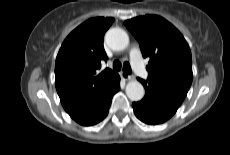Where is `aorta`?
<instances>
[{
	"mask_svg": "<svg viewBox=\"0 0 230 155\" xmlns=\"http://www.w3.org/2000/svg\"><path fill=\"white\" fill-rule=\"evenodd\" d=\"M107 45L116 51L124 50L129 44L128 34L121 28H111L105 35ZM126 95L131 101H140L144 97V87L138 81L126 85Z\"/></svg>",
	"mask_w": 230,
	"mask_h": 155,
	"instance_id": "obj_1",
	"label": "aorta"
}]
</instances>
